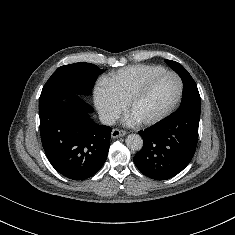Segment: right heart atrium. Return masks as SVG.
Masks as SVG:
<instances>
[{"label": "right heart atrium", "mask_w": 235, "mask_h": 235, "mask_svg": "<svg viewBox=\"0 0 235 235\" xmlns=\"http://www.w3.org/2000/svg\"><path fill=\"white\" fill-rule=\"evenodd\" d=\"M94 103L100 115L107 122L118 118L124 107L105 84H99L95 87Z\"/></svg>", "instance_id": "1"}]
</instances>
